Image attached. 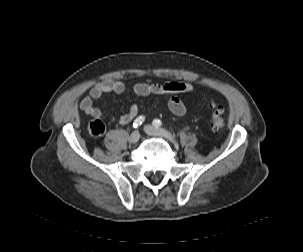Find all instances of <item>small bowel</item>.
<instances>
[{"instance_id": "c3829d8e", "label": "small bowel", "mask_w": 303, "mask_h": 252, "mask_svg": "<svg viewBox=\"0 0 303 252\" xmlns=\"http://www.w3.org/2000/svg\"><path fill=\"white\" fill-rule=\"evenodd\" d=\"M125 91V85L120 80L106 79L96 83L87 92L80 102V108L87 115L101 119L103 118V112L95 107L94 101L100 98L105 93H114L120 96ZM134 92L140 96H146L149 94H158L168 96V108L177 115L183 116L187 112V106L178 97L179 94H191L193 92V86L186 81H173L168 83H154V82H142L134 86ZM139 106L132 104L128 110L117 118L120 124H128L138 118Z\"/></svg>"}]
</instances>
